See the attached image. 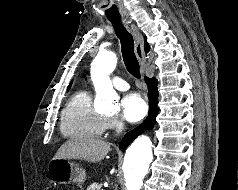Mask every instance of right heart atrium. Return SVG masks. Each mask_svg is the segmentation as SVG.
I'll return each mask as SVG.
<instances>
[{"label": "right heart atrium", "mask_w": 238, "mask_h": 190, "mask_svg": "<svg viewBox=\"0 0 238 190\" xmlns=\"http://www.w3.org/2000/svg\"><path fill=\"white\" fill-rule=\"evenodd\" d=\"M119 126V121L113 117L107 119V128L116 129Z\"/></svg>", "instance_id": "obj_1"}]
</instances>
